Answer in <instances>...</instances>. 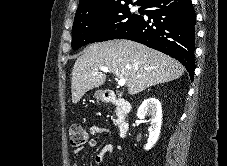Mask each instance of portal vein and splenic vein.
<instances>
[{"label":"portal vein and splenic vein","mask_w":227,"mask_h":166,"mask_svg":"<svg viewBox=\"0 0 227 166\" xmlns=\"http://www.w3.org/2000/svg\"><path fill=\"white\" fill-rule=\"evenodd\" d=\"M100 71H103V72H106V73L110 72L109 69L106 68V67L100 68ZM115 80L117 81L119 87H123L126 84V80L125 79L115 78Z\"/></svg>","instance_id":"18ae733b"}]
</instances>
